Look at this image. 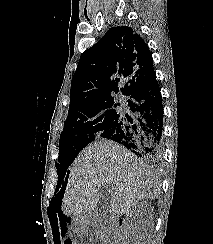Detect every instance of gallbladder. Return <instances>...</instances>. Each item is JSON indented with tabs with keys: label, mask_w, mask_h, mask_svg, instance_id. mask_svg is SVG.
Listing matches in <instances>:
<instances>
[{
	"label": "gallbladder",
	"mask_w": 213,
	"mask_h": 244,
	"mask_svg": "<svg viewBox=\"0 0 213 244\" xmlns=\"http://www.w3.org/2000/svg\"><path fill=\"white\" fill-rule=\"evenodd\" d=\"M99 216L101 218V221L103 222V224H109L110 223V216L108 211H99Z\"/></svg>",
	"instance_id": "1"
}]
</instances>
